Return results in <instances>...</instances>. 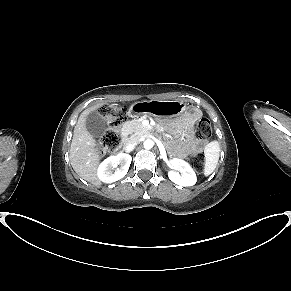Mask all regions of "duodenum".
<instances>
[{
  "label": "duodenum",
  "instance_id": "obj_1",
  "mask_svg": "<svg viewBox=\"0 0 291 291\" xmlns=\"http://www.w3.org/2000/svg\"><path fill=\"white\" fill-rule=\"evenodd\" d=\"M127 144V140L126 139H122L120 140V143H118L116 148H113V153H122L124 150V145Z\"/></svg>",
  "mask_w": 291,
  "mask_h": 291
}]
</instances>
